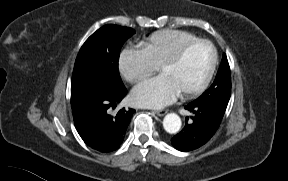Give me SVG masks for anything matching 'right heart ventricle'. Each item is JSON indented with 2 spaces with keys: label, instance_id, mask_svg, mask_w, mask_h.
Masks as SVG:
<instances>
[{
  "label": "right heart ventricle",
  "instance_id": "e07e8e85",
  "mask_svg": "<svg viewBox=\"0 0 288 181\" xmlns=\"http://www.w3.org/2000/svg\"><path fill=\"white\" fill-rule=\"evenodd\" d=\"M199 39L196 35L181 31L166 29L153 33L140 43L149 61L158 67L160 63L172 56L182 46Z\"/></svg>",
  "mask_w": 288,
  "mask_h": 181
}]
</instances>
